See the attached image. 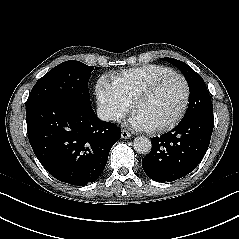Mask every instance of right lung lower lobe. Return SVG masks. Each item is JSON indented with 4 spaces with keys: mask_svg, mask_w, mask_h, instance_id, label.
Segmentation results:
<instances>
[{
    "mask_svg": "<svg viewBox=\"0 0 239 239\" xmlns=\"http://www.w3.org/2000/svg\"><path fill=\"white\" fill-rule=\"evenodd\" d=\"M26 108L29 142L46 170L72 185L97 180L121 129L101 121L90 100H47Z\"/></svg>",
    "mask_w": 239,
    "mask_h": 239,
    "instance_id": "98d812e1",
    "label": "right lung lower lobe"
}]
</instances>
